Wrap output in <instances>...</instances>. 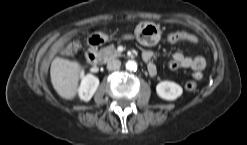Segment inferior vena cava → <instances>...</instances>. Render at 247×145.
Here are the masks:
<instances>
[{"instance_id":"1","label":"inferior vena cava","mask_w":247,"mask_h":145,"mask_svg":"<svg viewBox=\"0 0 247 145\" xmlns=\"http://www.w3.org/2000/svg\"><path fill=\"white\" fill-rule=\"evenodd\" d=\"M120 66H121V62L117 59H110L107 62V69L111 71L119 69Z\"/></svg>"}]
</instances>
